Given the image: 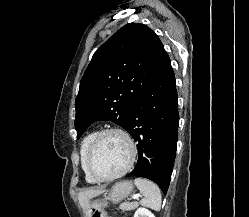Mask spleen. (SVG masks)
<instances>
[{
    "instance_id": "spleen-1",
    "label": "spleen",
    "mask_w": 249,
    "mask_h": 217,
    "mask_svg": "<svg viewBox=\"0 0 249 217\" xmlns=\"http://www.w3.org/2000/svg\"><path fill=\"white\" fill-rule=\"evenodd\" d=\"M134 183L144 196L140 201L141 205L159 211L162 202L159 187L154 182L139 177L135 178Z\"/></svg>"
}]
</instances>
